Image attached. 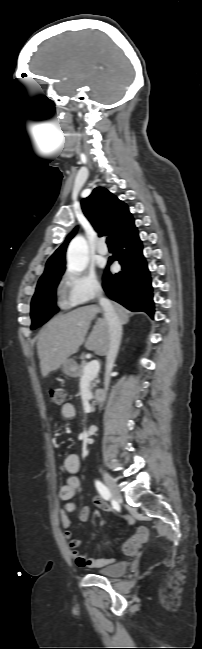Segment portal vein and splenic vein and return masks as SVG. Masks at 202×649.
I'll return each instance as SVG.
<instances>
[{
  "mask_svg": "<svg viewBox=\"0 0 202 649\" xmlns=\"http://www.w3.org/2000/svg\"><path fill=\"white\" fill-rule=\"evenodd\" d=\"M100 370V364L97 360H92L89 362L83 372L82 380H92L94 379Z\"/></svg>",
  "mask_w": 202,
  "mask_h": 649,
  "instance_id": "obj_1",
  "label": "portal vein and splenic vein"
}]
</instances>
